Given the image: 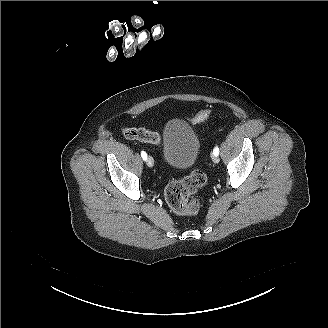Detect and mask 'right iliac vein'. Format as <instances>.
<instances>
[{
	"label": "right iliac vein",
	"instance_id": "63e3f726",
	"mask_svg": "<svg viewBox=\"0 0 328 328\" xmlns=\"http://www.w3.org/2000/svg\"><path fill=\"white\" fill-rule=\"evenodd\" d=\"M146 164H147L148 167H153L154 166V159L152 158V156L147 157Z\"/></svg>",
	"mask_w": 328,
	"mask_h": 328
}]
</instances>
